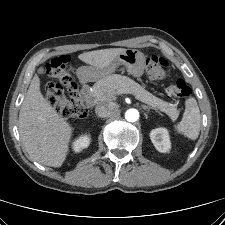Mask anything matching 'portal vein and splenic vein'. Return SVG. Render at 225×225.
I'll return each instance as SVG.
<instances>
[{
  "label": "portal vein and splenic vein",
  "mask_w": 225,
  "mask_h": 225,
  "mask_svg": "<svg viewBox=\"0 0 225 225\" xmlns=\"http://www.w3.org/2000/svg\"><path fill=\"white\" fill-rule=\"evenodd\" d=\"M123 93H130V92L124 91Z\"/></svg>",
  "instance_id": "18ae733b"
}]
</instances>
